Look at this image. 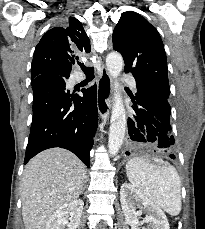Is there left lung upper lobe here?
Instances as JSON below:
<instances>
[{"label": "left lung upper lobe", "mask_w": 205, "mask_h": 229, "mask_svg": "<svg viewBox=\"0 0 205 229\" xmlns=\"http://www.w3.org/2000/svg\"><path fill=\"white\" fill-rule=\"evenodd\" d=\"M113 49L124 59V70L131 72L137 86L159 92L169 99L167 58L161 37L144 17L125 12L113 32Z\"/></svg>", "instance_id": "left-lung-upper-lobe-1"}]
</instances>
